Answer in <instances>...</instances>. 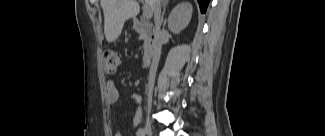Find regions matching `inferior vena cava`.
Masks as SVG:
<instances>
[{
    "mask_svg": "<svg viewBox=\"0 0 325 136\" xmlns=\"http://www.w3.org/2000/svg\"><path fill=\"white\" fill-rule=\"evenodd\" d=\"M153 11H154V21L156 26V41L154 44V51H153V60L152 65L150 67L149 76H148V96H152V91L154 87L155 82V76H156V70H157V64H158V57L159 52L161 49V42L158 40V35L160 31V26L162 23L161 18V0H155L153 4Z\"/></svg>",
    "mask_w": 325,
    "mask_h": 136,
    "instance_id": "inferior-vena-cava-1",
    "label": "inferior vena cava"
}]
</instances>
